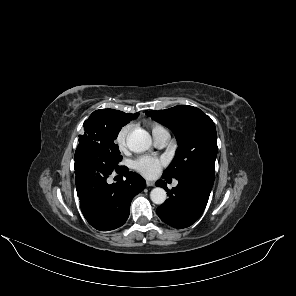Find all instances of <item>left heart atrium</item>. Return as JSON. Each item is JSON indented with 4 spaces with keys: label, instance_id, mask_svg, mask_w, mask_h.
Wrapping results in <instances>:
<instances>
[{
    "label": "left heart atrium",
    "instance_id": "39dd6f15",
    "mask_svg": "<svg viewBox=\"0 0 296 296\" xmlns=\"http://www.w3.org/2000/svg\"><path fill=\"white\" fill-rule=\"evenodd\" d=\"M166 163L167 162L163 157L144 155L136 158L133 161L132 166L142 176L146 178H155Z\"/></svg>",
    "mask_w": 296,
    "mask_h": 296
}]
</instances>
